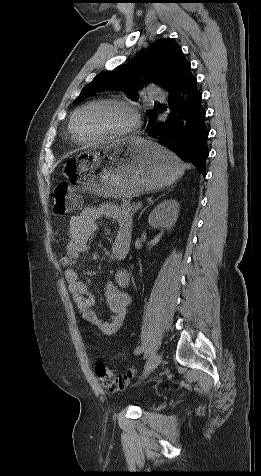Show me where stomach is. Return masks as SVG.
<instances>
[{
	"instance_id": "1",
	"label": "stomach",
	"mask_w": 261,
	"mask_h": 476,
	"mask_svg": "<svg viewBox=\"0 0 261 476\" xmlns=\"http://www.w3.org/2000/svg\"><path fill=\"white\" fill-rule=\"evenodd\" d=\"M184 170L180 159L158 143L129 136L71 156L65 177L81 190L129 199L172 185Z\"/></svg>"
}]
</instances>
